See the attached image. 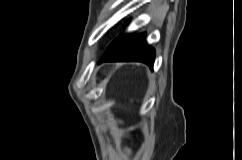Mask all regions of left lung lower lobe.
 <instances>
[{
    "mask_svg": "<svg viewBox=\"0 0 242 160\" xmlns=\"http://www.w3.org/2000/svg\"><path fill=\"white\" fill-rule=\"evenodd\" d=\"M146 34L123 35L116 38L106 49L99 63L110 61H138L153 68L155 50L145 42Z\"/></svg>",
    "mask_w": 242,
    "mask_h": 160,
    "instance_id": "0a47b994",
    "label": "left lung lower lobe"
}]
</instances>
